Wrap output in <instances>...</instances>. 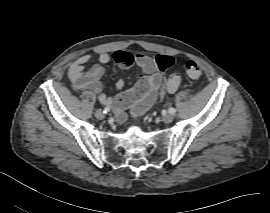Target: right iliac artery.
Returning a JSON list of instances; mask_svg holds the SVG:
<instances>
[{"label":"right iliac artery","mask_w":270,"mask_h":213,"mask_svg":"<svg viewBox=\"0 0 270 213\" xmlns=\"http://www.w3.org/2000/svg\"><path fill=\"white\" fill-rule=\"evenodd\" d=\"M103 112H104V113L110 112V108H109V107H105Z\"/></svg>","instance_id":"right-iliac-artery-1"}]
</instances>
